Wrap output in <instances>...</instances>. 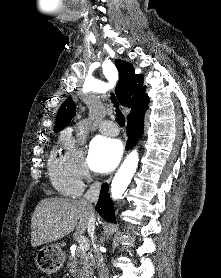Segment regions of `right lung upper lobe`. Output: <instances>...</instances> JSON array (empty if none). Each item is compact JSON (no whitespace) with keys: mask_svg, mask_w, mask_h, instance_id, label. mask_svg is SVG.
<instances>
[{"mask_svg":"<svg viewBox=\"0 0 221 278\" xmlns=\"http://www.w3.org/2000/svg\"><path fill=\"white\" fill-rule=\"evenodd\" d=\"M115 65L119 71V81L115 89L117 98L121 105L131 108L127 119L144 118L150 100L145 94L143 76L135 74L134 67L128 62L117 59ZM75 111L73 100L66 99L58 110L54 131L65 128L75 116Z\"/></svg>","mask_w":221,"mask_h":278,"instance_id":"right-lung-upper-lobe-1","label":"right lung upper lobe"}]
</instances>
